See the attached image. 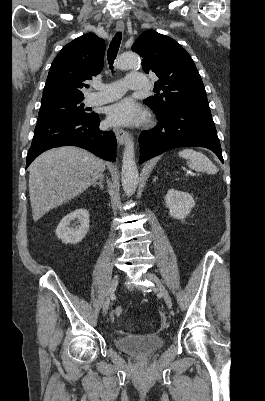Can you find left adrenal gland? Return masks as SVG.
<instances>
[{
  "instance_id": "left-adrenal-gland-1",
  "label": "left adrenal gland",
  "mask_w": 265,
  "mask_h": 401,
  "mask_svg": "<svg viewBox=\"0 0 265 401\" xmlns=\"http://www.w3.org/2000/svg\"><path fill=\"white\" fill-rule=\"evenodd\" d=\"M156 178H157V176H154V182H156Z\"/></svg>"
}]
</instances>
